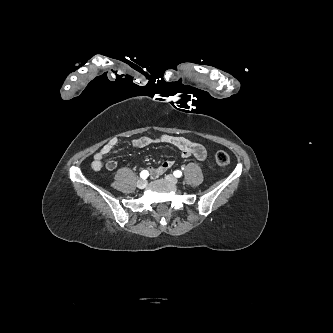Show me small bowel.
<instances>
[{"mask_svg": "<svg viewBox=\"0 0 333 333\" xmlns=\"http://www.w3.org/2000/svg\"><path fill=\"white\" fill-rule=\"evenodd\" d=\"M118 139L114 138L105 144L93 157L91 168L94 171H100L103 168L104 158L117 146ZM153 144H166L173 146L180 150L181 155L185 158L194 157L197 160H204L206 157V150L203 145L193 142L187 138L181 136L162 135L157 138L139 137L132 141V145L135 148H144ZM174 161L166 160L160 163L157 167L150 169L152 177L156 178L165 173L172 165ZM117 167V162L114 160H108L105 163V168L108 171H113Z\"/></svg>", "mask_w": 333, "mask_h": 333, "instance_id": "1", "label": "small bowel"}]
</instances>
